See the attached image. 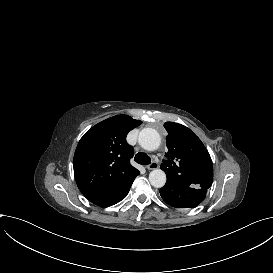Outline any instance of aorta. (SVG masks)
Wrapping results in <instances>:
<instances>
[{
  "instance_id": "aorta-1",
  "label": "aorta",
  "mask_w": 273,
  "mask_h": 273,
  "mask_svg": "<svg viewBox=\"0 0 273 273\" xmlns=\"http://www.w3.org/2000/svg\"><path fill=\"white\" fill-rule=\"evenodd\" d=\"M138 142L143 149L147 151H154L159 148L161 138L155 129L144 128L139 133ZM149 181L152 186L161 188L166 183V174L161 169H155L150 172Z\"/></svg>"
}]
</instances>
